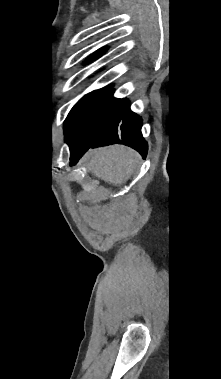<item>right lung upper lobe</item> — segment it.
I'll return each mask as SVG.
<instances>
[{"mask_svg": "<svg viewBox=\"0 0 221 379\" xmlns=\"http://www.w3.org/2000/svg\"><path fill=\"white\" fill-rule=\"evenodd\" d=\"M104 52H105V49H100V50L96 51L94 54H92L90 59L94 60V59L98 58L99 56H101L102 54H104Z\"/></svg>", "mask_w": 221, "mask_h": 379, "instance_id": "1", "label": "right lung upper lobe"}]
</instances>
